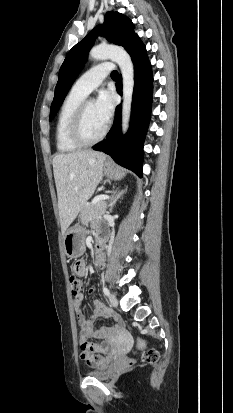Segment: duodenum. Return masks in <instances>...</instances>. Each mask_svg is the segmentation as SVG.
<instances>
[{"label": "duodenum", "instance_id": "410a0bca", "mask_svg": "<svg viewBox=\"0 0 233 413\" xmlns=\"http://www.w3.org/2000/svg\"><path fill=\"white\" fill-rule=\"evenodd\" d=\"M105 242V235L99 233L95 240L96 246V267L100 268L104 265L103 243Z\"/></svg>", "mask_w": 233, "mask_h": 413}]
</instances>
